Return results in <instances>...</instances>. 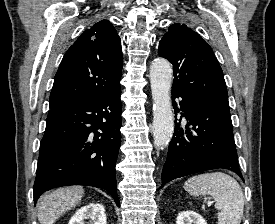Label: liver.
I'll use <instances>...</instances> for the list:
<instances>
[{
  "label": "liver",
  "mask_w": 275,
  "mask_h": 224,
  "mask_svg": "<svg viewBox=\"0 0 275 224\" xmlns=\"http://www.w3.org/2000/svg\"><path fill=\"white\" fill-rule=\"evenodd\" d=\"M81 186L58 188L44 194L38 201V220L40 224H53L62 214L75 207L82 199Z\"/></svg>",
  "instance_id": "1"
}]
</instances>
